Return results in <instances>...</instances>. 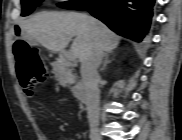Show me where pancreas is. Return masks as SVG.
<instances>
[{
	"label": "pancreas",
	"instance_id": "cf45deb5",
	"mask_svg": "<svg viewBox=\"0 0 182 140\" xmlns=\"http://www.w3.org/2000/svg\"><path fill=\"white\" fill-rule=\"evenodd\" d=\"M53 72L55 79L60 83V85H67L69 83H74V76L70 69V63L65 60L56 61L53 63Z\"/></svg>",
	"mask_w": 182,
	"mask_h": 140
}]
</instances>
